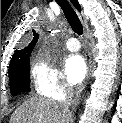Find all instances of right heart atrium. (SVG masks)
Returning <instances> with one entry per match:
<instances>
[{"instance_id":"1","label":"right heart atrium","mask_w":122,"mask_h":123,"mask_svg":"<svg viewBox=\"0 0 122 123\" xmlns=\"http://www.w3.org/2000/svg\"><path fill=\"white\" fill-rule=\"evenodd\" d=\"M31 77L36 93L41 96L59 99L72 91L63 73L47 57L38 56L33 60Z\"/></svg>"}]
</instances>
